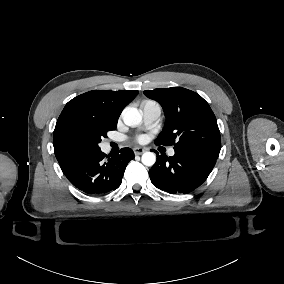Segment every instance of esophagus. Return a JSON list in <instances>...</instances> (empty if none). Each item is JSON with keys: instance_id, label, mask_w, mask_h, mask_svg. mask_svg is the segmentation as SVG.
I'll list each match as a JSON object with an SVG mask.
<instances>
[{"instance_id": "34e87169", "label": "esophagus", "mask_w": 284, "mask_h": 284, "mask_svg": "<svg viewBox=\"0 0 284 284\" xmlns=\"http://www.w3.org/2000/svg\"><path fill=\"white\" fill-rule=\"evenodd\" d=\"M134 154L135 155H141L143 154L146 150L142 147H135L133 148Z\"/></svg>"}]
</instances>
